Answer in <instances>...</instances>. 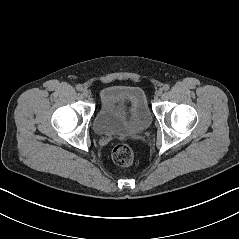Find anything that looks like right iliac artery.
Instances as JSON below:
<instances>
[{"instance_id":"obj_1","label":"right iliac artery","mask_w":239,"mask_h":239,"mask_svg":"<svg viewBox=\"0 0 239 239\" xmlns=\"http://www.w3.org/2000/svg\"><path fill=\"white\" fill-rule=\"evenodd\" d=\"M76 89H77L78 91H82V90H83V87H82V85L78 84V85H76Z\"/></svg>"}]
</instances>
